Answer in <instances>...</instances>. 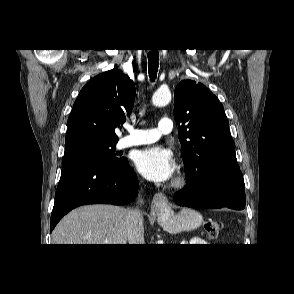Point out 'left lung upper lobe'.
<instances>
[{
	"mask_svg": "<svg viewBox=\"0 0 294 294\" xmlns=\"http://www.w3.org/2000/svg\"><path fill=\"white\" fill-rule=\"evenodd\" d=\"M174 118L188 180L213 170H240L224 108L205 85L183 80L176 86Z\"/></svg>",
	"mask_w": 294,
	"mask_h": 294,
	"instance_id": "obj_1",
	"label": "left lung upper lobe"
}]
</instances>
